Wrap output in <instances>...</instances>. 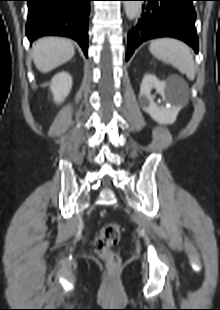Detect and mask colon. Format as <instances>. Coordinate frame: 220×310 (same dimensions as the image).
Here are the masks:
<instances>
[{
  "instance_id": "colon-1",
  "label": "colon",
  "mask_w": 220,
  "mask_h": 310,
  "mask_svg": "<svg viewBox=\"0 0 220 310\" xmlns=\"http://www.w3.org/2000/svg\"><path fill=\"white\" fill-rule=\"evenodd\" d=\"M120 238V226L116 223H108L102 227L100 235L94 242L96 253L111 269H117L120 264L118 254L113 251V247L119 242Z\"/></svg>"
}]
</instances>
